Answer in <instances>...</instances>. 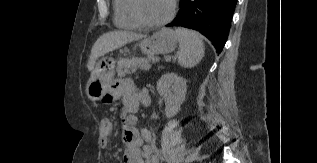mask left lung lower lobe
Wrapping results in <instances>:
<instances>
[{"instance_id":"obj_1","label":"left lung lower lobe","mask_w":317,"mask_h":163,"mask_svg":"<svg viewBox=\"0 0 317 163\" xmlns=\"http://www.w3.org/2000/svg\"><path fill=\"white\" fill-rule=\"evenodd\" d=\"M236 3L237 0H180V11L167 27L195 29L220 53L229 34Z\"/></svg>"}]
</instances>
